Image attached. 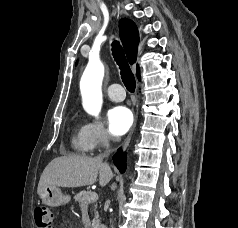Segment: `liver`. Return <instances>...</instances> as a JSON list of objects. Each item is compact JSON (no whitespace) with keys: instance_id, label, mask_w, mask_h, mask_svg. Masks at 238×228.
I'll return each mask as SVG.
<instances>
[{"instance_id":"liver-1","label":"liver","mask_w":238,"mask_h":228,"mask_svg":"<svg viewBox=\"0 0 238 228\" xmlns=\"http://www.w3.org/2000/svg\"><path fill=\"white\" fill-rule=\"evenodd\" d=\"M99 174L100 186H105L114 174L99 157L69 155L53 159L44 169L37 188L41 196L45 187H82L92 185Z\"/></svg>"}]
</instances>
